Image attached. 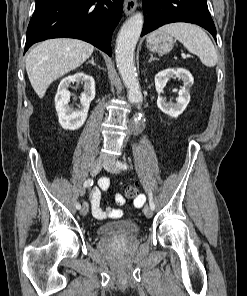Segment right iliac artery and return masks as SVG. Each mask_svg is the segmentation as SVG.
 Here are the masks:
<instances>
[{"mask_svg":"<svg viewBox=\"0 0 247 296\" xmlns=\"http://www.w3.org/2000/svg\"><path fill=\"white\" fill-rule=\"evenodd\" d=\"M92 185H93V180H92V179H87V180L84 182V188H86V187H90V186H92ZM76 208H77V209H80V208H81L80 203H77V204H76Z\"/></svg>","mask_w":247,"mask_h":296,"instance_id":"82829eb1","label":"right iliac artery"}]
</instances>
